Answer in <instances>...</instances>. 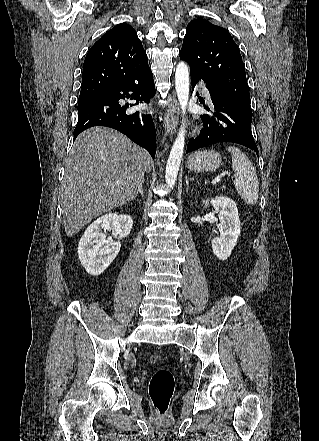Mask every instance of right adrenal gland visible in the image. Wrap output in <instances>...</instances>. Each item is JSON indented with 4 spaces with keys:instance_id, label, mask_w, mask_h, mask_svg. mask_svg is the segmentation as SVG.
<instances>
[{
    "instance_id": "1",
    "label": "right adrenal gland",
    "mask_w": 319,
    "mask_h": 441,
    "mask_svg": "<svg viewBox=\"0 0 319 441\" xmlns=\"http://www.w3.org/2000/svg\"><path fill=\"white\" fill-rule=\"evenodd\" d=\"M143 184H144V181H142L140 183V185L138 186V190H137V192H136V194L134 196V199L138 196V194H140L142 198L144 197V187H143Z\"/></svg>"
}]
</instances>
